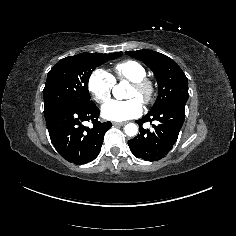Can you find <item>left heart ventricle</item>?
I'll use <instances>...</instances> for the list:
<instances>
[{
	"label": "left heart ventricle",
	"mask_w": 236,
	"mask_h": 236,
	"mask_svg": "<svg viewBox=\"0 0 236 236\" xmlns=\"http://www.w3.org/2000/svg\"><path fill=\"white\" fill-rule=\"evenodd\" d=\"M126 98L136 99V100H139L141 102L142 96H141V93L137 89L130 86L128 91H127V94H126Z\"/></svg>",
	"instance_id": "1"
}]
</instances>
